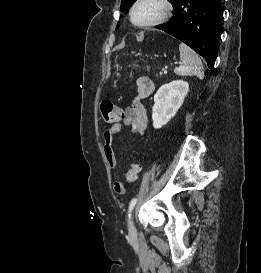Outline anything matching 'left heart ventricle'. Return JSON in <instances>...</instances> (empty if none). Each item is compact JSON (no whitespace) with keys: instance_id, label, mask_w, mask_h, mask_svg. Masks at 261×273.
Instances as JSON below:
<instances>
[{"instance_id":"1","label":"left heart ventricle","mask_w":261,"mask_h":273,"mask_svg":"<svg viewBox=\"0 0 261 273\" xmlns=\"http://www.w3.org/2000/svg\"><path fill=\"white\" fill-rule=\"evenodd\" d=\"M159 12V6L153 2L141 4L135 11V20L143 23L154 18Z\"/></svg>"}]
</instances>
